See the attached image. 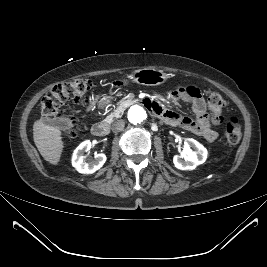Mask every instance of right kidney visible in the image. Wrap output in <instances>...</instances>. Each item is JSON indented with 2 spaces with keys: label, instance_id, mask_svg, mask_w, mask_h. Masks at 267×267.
Returning <instances> with one entry per match:
<instances>
[{
  "label": "right kidney",
  "instance_id": "right-kidney-1",
  "mask_svg": "<svg viewBox=\"0 0 267 267\" xmlns=\"http://www.w3.org/2000/svg\"><path fill=\"white\" fill-rule=\"evenodd\" d=\"M91 146V141L86 140L74 150L72 156V165L79 173L92 174L99 170L106 162L105 154H96L94 160L85 162L84 152L89 151Z\"/></svg>",
  "mask_w": 267,
  "mask_h": 267
}]
</instances>
